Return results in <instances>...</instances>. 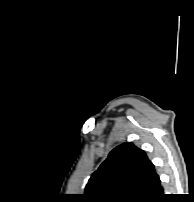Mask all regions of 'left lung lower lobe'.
I'll use <instances>...</instances> for the list:
<instances>
[{
    "label": "left lung lower lobe",
    "instance_id": "0a47b994",
    "mask_svg": "<svg viewBox=\"0 0 194 202\" xmlns=\"http://www.w3.org/2000/svg\"><path fill=\"white\" fill-rule=\"evenodd\" d=\"M163 189L162 187H160V189L158 190L156 196L154 197V199L152 200V202H160L161 199L163 198Z\"/></svg>",
    "mask_w": 194,
    "mask_h": 202
}]
</instances>
